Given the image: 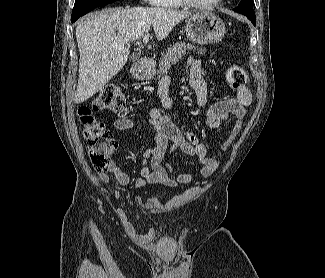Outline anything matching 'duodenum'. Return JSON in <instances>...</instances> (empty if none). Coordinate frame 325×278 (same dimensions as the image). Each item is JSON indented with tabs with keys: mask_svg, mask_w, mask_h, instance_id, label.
<instances>
[{
	"mask_svg": "<svg viewBox=\"0 0 325 278\" xmlns=\"http://www.w3.org/2000/svg\"><path fill=\"white\" fill-rule=\"evenodd\" d=\"M151 65V61L147 58H142L139 61V67L148 68Z\"/></svg>",
	"mask_w": 325,
	"mask_h": 278,
	"instance_id": "1",
	"label": "duodenum"
}]
</instances>
